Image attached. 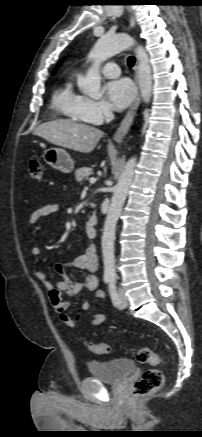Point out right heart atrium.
Segmentation results:
<instances>
[{"label": "right heart atrium", "mask_w": 202, "mask_h": 437, "mask_svg": "<svg viewBox=\"0 0 202 437\" xmlns=\"http://www.w3.org/2000/svg\"><path fill=\"white\" fill-rule=\"evenodd\" d=\"M81 113L88 122L100 123L111 115V108L104 100H93L84 97L81 104Z\"/></svg>", "instance_id": "right-heart-atrium-1"}]
</instances>
